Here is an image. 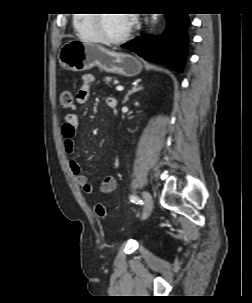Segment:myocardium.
Here are the masks:
<instances>
[{
    "label": "myocardium",
    "instance_id": "1",
    "mask_svg": "<svg viewBox=\"0 0 252 303\" xmlns=\"http://www.w3.org/2000/svg\"><path fill=\"white\" fill-rule=\"evenodd\" d=\"M95 15V20H96V25H97V29L99 31V34L102 38V41L106 42V43H111V44H118L121 42H124L125 40H127L133 30L134 27V22L131 21L130 26L128 27V29L120 36L117 37H113V36H109L103 28V20H104V15L105 14H94Z\"/></svg>",
    "mask_w": 252,
    "mask_h": 303
}]
</instances>
